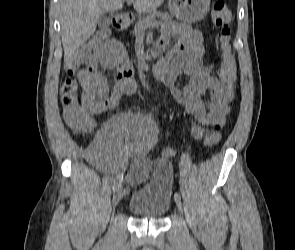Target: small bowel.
<instances>
[{"label": "small bowel", "instance_id": "c3829d8e", "mask_svg": "<svg viewBox=\"0 0 295 250\" xmlns=\"http://www.w3.org/2000/svg\"><path fill=\"white\" fill-rule=\"evenodd\" d=\"M170 47L165 58L158 61L153 73L167 86L190 118L191 135L195 139L212 137V145L220 141L218 131L231 111L234 86H226L213 73L204 58L203 36L188 25L167 26L158 41V48ZM126 57L117 40H108L98 54L77 52L66 64L67 77L77 78L81 85V101L96 107L98 113L115 108L119 102L136 91L132 72H123ZM118 69L111 87L107 73ZM179 77L188 79L180 88ZM155 124L139 113H125L114 118L101 130L97 147L102 162L110 168L112 162L123 164L132 157L127 182L138 184L148 176L152 162L148 152L155 143ZM174 154L166 149L163 157Z\"/></svg>", "mask_w": 295, "mask_h": 250}]
</instances>
